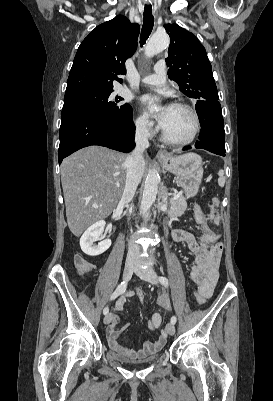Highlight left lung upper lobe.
Returning <instances> with one entry per match:
<instances>
[{
	"label": "left lung upper lobe",
	"mask_w": 273,
	"mask_h": 401,
	"mask_svg": "<svg viewBox=\"0 0 273 401\" xmlns=\"http://www.w3.org/2000/svg\"><path fill=\"white\" fill-rule=\"evenodd\" d=\"M164 27L171 39L166 58L169 78L190 98L217 101V87L203 45L194 34L177 24Z\"/></svg>",
	"instance_id": "5c2ea615"
}]
</instances>
